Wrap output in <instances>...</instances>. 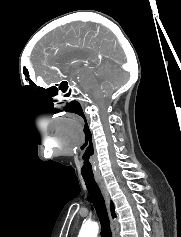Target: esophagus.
<instances>
[{
  "instance_id": "34e87169",
  "label": "esophagus",
  "mask_w": 181,
  "mask_h": 237,
  "mask_svg": "<svg viewBox=\"0 0 181 237\" xmlns=\"http://www.w3.org/2000/svg\"><path fill=\"white\" fill-rule=\"evenodd\" d=\"M96 181H97V183L99 185V188H100V190L102 192V195L104 197V200L106 202V206H107V208L109 210L110 199H109V193H108L107 186H106L104 180L101 179V178H97ZM111 227H112L113 235L115 237V222H114V220L112 218H111Z\"/></svg>"
}]
</instances>
